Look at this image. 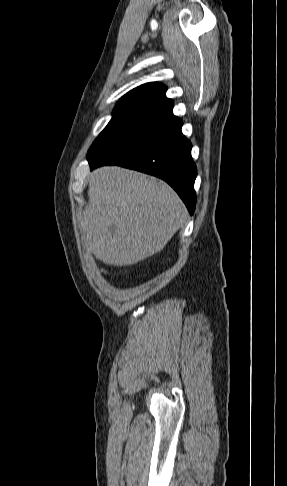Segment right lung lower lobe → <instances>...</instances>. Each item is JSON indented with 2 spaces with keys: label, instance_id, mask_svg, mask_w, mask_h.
<instances>
[{
  "label": "right lung lower lobe",
  "instance_id": "right-lung-lower-lobe-1",
  "mask_svg": "<svg viewBox=\"0 0 287 486\" xmlns=\"http://www.w3.org/2000/svg\"><path fill=\"white\" fill-rule=\"evenodd\" d=\"M181 127L182 121L172 114L131 143L90 164V168L116 164L157 176L173 187L193 214L197 169L191 157L192 145Z\"/></svg>",
  "mask_w": 287,
  "mask_h": 486
}]
</instances>
